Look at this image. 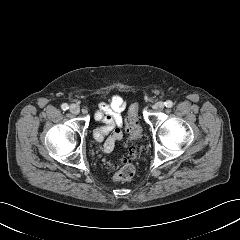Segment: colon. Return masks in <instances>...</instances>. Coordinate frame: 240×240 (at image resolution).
<instances>
[{
	"mask_svg": "<svg viewBox=\"0 0 240 240\" xmlns=\"http://www.w3.org/2000/svg\"><path fill=\"white\" fill-rule=\"evenodd\" d=\"M126 131L129 134L130 140H135L141 133V128L138 124V105L132 104L128 111L126 118ZM137 150L133 145L129 146L128 154L122 160V166L115 173L113 180L114 182H124L132 179L136 173V169L132 164V160L136 157ZM108 167H113L110 163H106Z\"/></svg>",
	"mask_w": 240,
	"mask_h": 240,
	"instance_id": "obj_1",
	"label": "colon"
}]
</instances>
